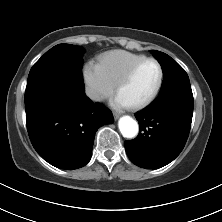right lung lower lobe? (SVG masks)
Returning <instances> with one entry per match:
<instances>
[{
	"instance_id": "obj_1",
	"label": "right lung lower lobe",
	"mask_w": 222,
	"mask_h": 222,
	"mask_svg": "<svg viewBox=\"0 0 222 222\" xmlns=\"http://www.w3.org/2000/svg\"><path fill=\"white\" fill-rule=\"evenodd\" d=\"M30 140L37 153L61 169H77L91 159L97 129L113 122L110 110L85 93L72 104L37 102L25 106Z\"/></svg>"
}]
</instances>
